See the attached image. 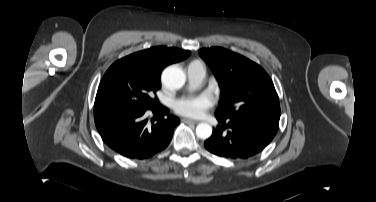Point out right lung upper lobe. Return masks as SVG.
<instances>
[{"label": "right lung upper lobe", "instance_id": "cb5924a9", "mask_svg": "<svg viewBox=\"0 0 376 202\" xmlns=\"http://www.w3.org/2000/svg\"><path fill=\"white\" fill-rule=\"evenodd\" d=\"M190 55V51L167 48V47H152L134 54H131L124 59L133 61L145 69L152 76L160 78L163 68L169 64L184 60Z\"/></svg>", "mask_w": 376, "mask_h": 202}]
</instances>
